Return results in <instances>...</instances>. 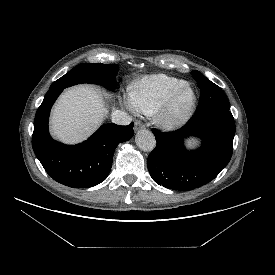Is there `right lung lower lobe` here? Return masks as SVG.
<instances>
[{
    "instance_id": "1",
    "label": "right lung lower lobe",
    "mask_w": 275,
    "mask_h": 275,
    "mask_svg": "<svg viewBox=\"0 0 275 275\" xmlns=\"http://www.w3.org/2000/svg\"><path fill=\"white\" fill-rule=\"evenodd\" d=\"M63 88L49 90L34 120L33 150L45 171L57 182L72 188H89L103 182L112 167L119 143L133 136V126L102 125L88 140L74 146L54 141L48 132L52 105Z\"/></svg>"
}]
</instances>
